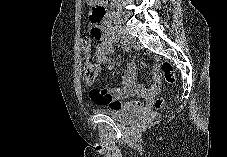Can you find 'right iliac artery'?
Listing matches in <instances>:
<instances>
[{
	"instance_id": "obj_1",
	"label": "right iliac artery",
	"mask_w": 227,
	"mask_h": 157,
	"mask_svg": "<svg viewBox=\"0 0 227 157\" xmlns=\"http://www.w3.org/2000/svg\"><path fill=\"white\" fill-rule=\"evenodd\" d=\"M114 30L118 31L116 28L113 29V31H112L113 40H114V41H117L118 44H123V45H122V50L128 51V50H129V47H128L127 40L124 39V38L121 39V36H118V35L115 33Z\"/></svg>"
}]
</instances>
